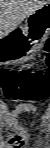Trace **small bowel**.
<instances>
[{"instance_id": "small-bowel-1", "label": "small bowel", "mask_w": 50, "mask_h": 148, "mask_svg": "<svg viewBox=\"0 0 50 148\" xmlns=\"http://www.w3.org/2000/svg\"><path fill=\"white\" fill-rule=\"evenodd\" d=\"M21 112H37L43 113V111L36 106L30 104H19L12 111L6 115L8 124L14 129L15 137L11 139H1L2 147L10 148H27L26 141L29 138L28 132L20 125L16 124L15 116Z\"/></svg>"}]
</instances>
